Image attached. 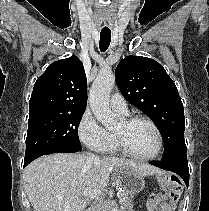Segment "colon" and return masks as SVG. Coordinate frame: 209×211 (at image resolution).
Instances as JSON below:
<instances>
[{"instance_id": "colon-1", "label": "colon", "mask_w": 209, "mask_h": 211, "mask_svg": "<svg viewBox=\"0 0 209 211\" xmlns=\"http://www.w3.org/2000/svg\"><path fill=\"white\" fill-rule=\"evenodd\" d=\"M166 187L168 189V195L170 199V206L174 210L181 194V184L177 178L170 177L166 182Z\"/></svg>"}]
</instances>
